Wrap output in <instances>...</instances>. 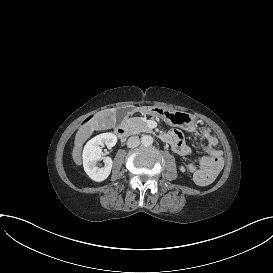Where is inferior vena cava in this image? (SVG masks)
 <instances>
[{
  "label": "inferior vena cava",
  "mask_w": 273,
  "mask_h": 273,
  "mask_svg": "<svg viewBox=\"0 0 273 273\" xmlns=\"http://www.w3.org/2000/svg\"><path fill=\"white\" fill-rule=\"evenodd\" d=\"M140 145V139L138 136H131L127 141V147L135 148Z\"/></svg>",
  "instance_id": "602c4592"
}]
</instances>
